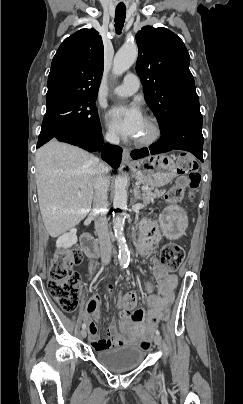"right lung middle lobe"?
Returning <instances> with one entry per match:
<instances>
[{
	"label": "right lung middle lobe",
	"mask_w": 243,
	"mask_h": 404,
	"mask_svg": "<svg viewBox=\"0 0 243 404\" xmlns=\"http://www.w3.org/2000/svg\"><path fill=\"white\" fill-rule=\"evenodd\" d=\"M96 97L64 99L47 104L37 148L50 141L64 128L101 130L98 111L95 107Z\"/></svg>",
	"instance_id": "obj_1"
}]
</instances>
